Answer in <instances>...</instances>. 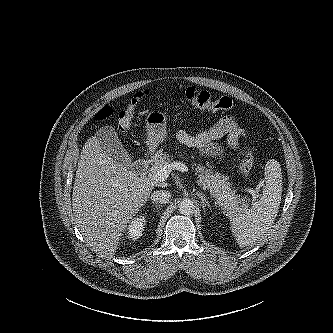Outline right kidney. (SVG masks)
Masks as SVG:
<instances>
[{
  "label": "right kidney",
  "instance_id": "ca27d5eb",
  "mask_svg": "<svg viewBox=\"0 0 333 333\" xmlns=\"http://www.w3.org/2000/svg\"><path fill=\"white\" fill-rule=\"evenodd\" d=\"M146 223L145 216H139L137 218H134L129 226H128V238H131L132 240H136L142 236V232L144 230V226Z\"/></svg>",
  "mask_w": 333,
  "mask_h": 333
}]
</instances>
